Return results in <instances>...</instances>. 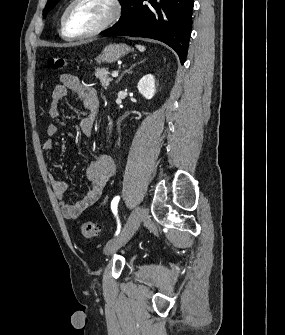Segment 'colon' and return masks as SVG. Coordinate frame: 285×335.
<instances>
[{
    "mask_svg": "<svg viewBox=\"0 0 285 335\" xmlns=\"http://www.w3.org/2000/svg\"><path fill=\"white\" fill-rule=\"evenodd\" d=\"M47 66L50 69L61 70L67 66V60L62 57L52 56L47 61ZM81 233L86 238L97 236L98 228L93 222H84L81 225Z\"/></svg>",
    "mask_w": 285,
    "mask_h": 335,
    "instance_id": "1",
    "label": "colon"
}]
</instances>
